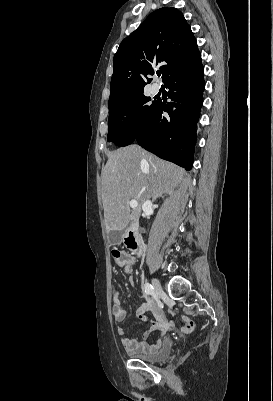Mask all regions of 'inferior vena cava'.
<instances>
[{
	"instance_id": "obj_1",
	"label": "inferior vena cava",
	"mask_w": 273,
	"mask_h": 401,
	"mask_svg": "<svg viewBox=\"0 0 273 401\" xmlns=\"http://www.w3.org/2000/svg\"><path fill=\"white\" fill-rule=\"evenodd\" d=\"M151 201H145L143 207H146V205H150Z\"/></svg>"
}]
</instances>
